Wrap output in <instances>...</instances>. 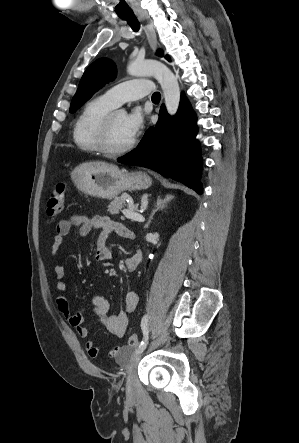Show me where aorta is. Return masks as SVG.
I'll list each match as a JSON object with an SVG mask.
<instances>
[{"instance_id": "1", "label": "aorta", "mask_w": 299, "mask_h": 443, "mask_svg": "<svg viewBox=\"0 0 299 443\" xmlns=\"http://www.w3.org/2000/svg\"><path fill=\"white\" fill-rule=\"evenodd\" d=\"M127 72L136 77L153 76L162 87L168 114H176L180 103V88L177 77L166 65L152 60H135L128 64Z\"/></svg>"}]
</instances>
